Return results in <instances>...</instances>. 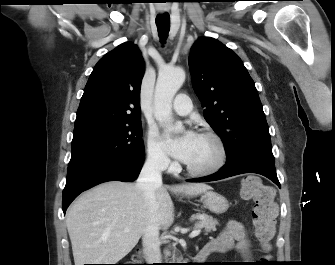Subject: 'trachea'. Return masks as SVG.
<instances>
[{"label": "trachea", "instance_id": "trachea-1", "mask_svg": "<svg viewBox=\"0 0 335 265\" xmlns=\"http://www.w3.org/2000/svg\"><path fill=\"white\" fill-rule=\"evenodd\" d=\"M156 25L159 33V37L162 42L168 36L169 29H170V16L169 14H163L156 17Z\"/></svg>", "mask_w": 335, "mask_h": 265}]
</instances>
